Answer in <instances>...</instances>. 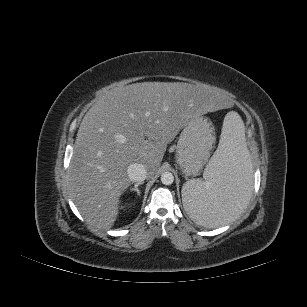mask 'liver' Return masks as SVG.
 Listing matches in <instances>:
<instances>
[{
	"mask_svg": "<svg viewBox=\"0 0 307 307\" xmlns=\"http://www.w3.org/2000/svg\"><path fill=\"white\" fill-rule=\"evenodd\" d=\"M225 96L205 85L142 82L116 87L84 116L68 169L70 196L92 226L110 229L129 187V165L153 175L179 131L193 117L227 108Z\"/></svg>",
	"mask_w": 307,
	"mask_h": 307,
	"instance_id": "6515ba94",
	"label": "liver"
}]
</instances>
